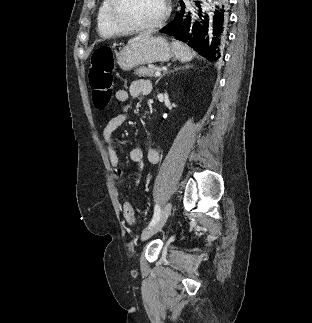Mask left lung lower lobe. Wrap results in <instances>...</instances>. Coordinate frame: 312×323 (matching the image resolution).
Instances as JSON below:
<instances>
[{
  "label": "left lung lower lobe",
  "instance_id": "1",
  "mask_svg": "<svg viewBox=\"0 0 312 323\" xmlns=\"http://www.w3.org/2000/svg\"><path fill=\"white\" fill-rule=\"evenodd\" d=\"M202 10L188 11L181 2L175 18L160 32L187 43L201 56L216 61L223 52L228 25V3L225 0H207Z\"/></svg>",
  "mask_w": 312,
  "mask_h": 323
}]
</instances>
